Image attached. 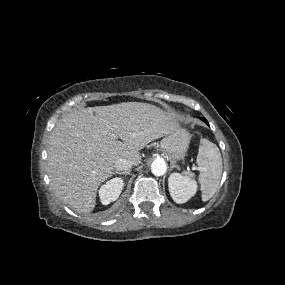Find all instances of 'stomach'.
<instances>
[{
    "label": "stomach",
    "mask_w": 285,
    "mask_h": 285,
    "mask_svg": "<svg viewBox=\"0 0 285 285\" xmlns=\"http://www.w3.org/2000/svg\"><path fill=\"white\" fill-rule=\"evenodd\" d=\"M189 143L190 134L179 127L161 140L160 150L173 159L180 160L185 157Z\"/></svg>",
    "instance_id": "0dacf381"
}]
</instances>
